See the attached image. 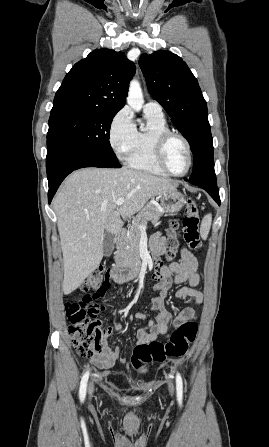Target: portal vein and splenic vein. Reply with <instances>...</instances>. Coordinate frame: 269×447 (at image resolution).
<instances>
[{"mask_svg": "<svg viewBox=\"0 0 269 447\" xmlns=\"http://www.w3.org/2000/svg\"><path fill=\"white\" fill-rule=\"evenodd\" d=\"M116 204H117V206H122V204H124V198H119V200H117ZM138 227H140L141 231H145V229H146V225H138Z\"/></svg>", "mask_w": 269, "mask_h": 447, "instance_id": "portal-vein-and-splenic-vein-1", "label": "portal vein and splenic vein"}]
</instances>
